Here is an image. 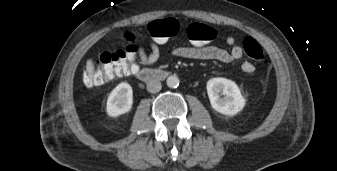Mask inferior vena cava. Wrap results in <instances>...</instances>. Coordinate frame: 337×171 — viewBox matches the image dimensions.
<instances>
[{"label": "inferior vena cava", "mask_w": 337, "mask_h": 171, "mask_svg": "<svg viewBox=\"0 0 337 171\" xmlns=\"http://www.w3.org/2000/svg\"><path fill=\"white\" fill-rule=\"evenodd\" d=\"M162 85L159 80L153 79L147 83V90L150 93H157L161 90Z\"/></svg>", "instance_id": "inferior-vena-cava-1"}]
</instances>
